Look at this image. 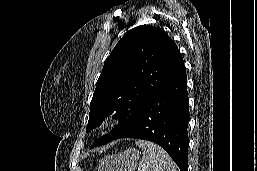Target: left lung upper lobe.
<instances>
[{
  "instance_id": "1",
  "label": "left lung upper lobe",
  "mask_w": 257,
  "mask_h": 171,
  "mask_svg": "<svg viewBox=\"0 0 257 171\" xmlns=\"http://www.w3.org/2000/svg\"><path fill=\"white\" fill-rule=\"evenodd\" d=\"M179 53L164 30L150 25L135 27L120 39L97 80L87 131L113 112L119 124L93 146L112 141L134 121Z\"/></svg>"
}]
</instances>
